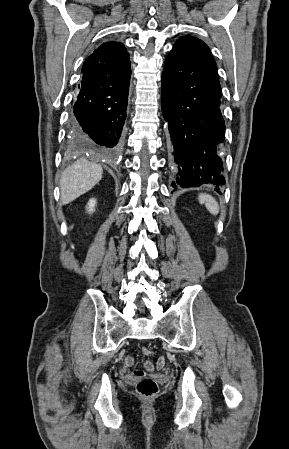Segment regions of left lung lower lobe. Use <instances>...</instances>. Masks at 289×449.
Masks as SVG:
<instances>
[{
	"mask_svg": "<svg viewBox=\"0 0 289 449\" xmlns=\"http://www.w3.org/2000/svg\"><path fill=\"white\" fill-rule=\"evenodd\" d=\"M221 96L215 65L202 56L171 50L162 74L161 107L175 164L174 189L225 184Z\"/></svg>",
	"mask_w": 289,
	"mask_h": 449,
	"instance_id": "obj_1",
	"label": "left lung lower lobe"
}]
</instances>
